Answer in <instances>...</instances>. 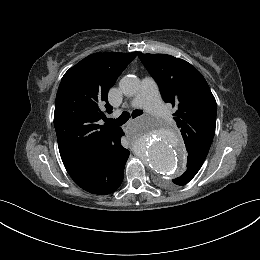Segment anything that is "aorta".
I'll use <instances>...</instances> for the list:
<instances>
[{
	"label": "aorta",
	"instance_id": "762f6f07",
	"mask_svg": "<svg viewBox=\"0 0 260 260\" xmlns=\"http://www.w3.org/2000/svg\"><path fill=\"white\" fill-rule=\"evenodd\" d=\"M119 87L125 96H134L140 89V81L132 76L120 80ZM146 135L143 145L145 163L158 174L164 176L176 175L183 171L186 165L185 154L181 141L174 129L161 121L145 120L131 132L132 137Z\"/></svg>",
	"mask_w": 260,
	"mask_h": 260
}]
</instances>
